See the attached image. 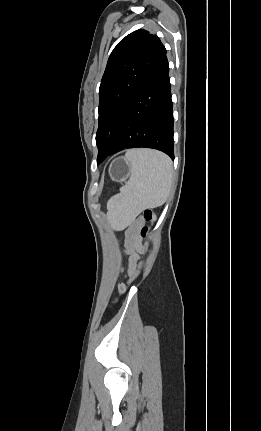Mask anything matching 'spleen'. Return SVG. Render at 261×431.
I'll return each mask as SVG.
<instances>
[{"label": "spleen", "instance_id": "obj_1", "mask_svg": "<svg viewBox=\"0 0 261 431\" xmlns=\"http://www.w3.org/2000/svg\"><path fill=\"white\" fill-rule=\"evenodd\" d=\"M131 174L120 193L108 202L111 213L136 216L146 208L163 205L173 181L171 159L159 151L134 149L127 151Z\"/></svg>", "mask_w": 261, "mask_h": 431}]
</instances>
